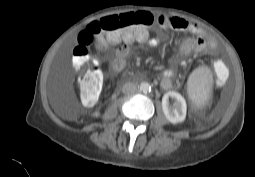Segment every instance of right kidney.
Wrapping results in <instances>:
<instances>
[{"label":"right kidney","instance_id":"ca27d5eb","mask_svg":"<svg viewBox=\"0 0 255 177\" xmlns=\"http://www.w3.org/2000/svg\"><path fill=\"white\" fill-rule=\"evenodd\" d=\"M92 116L97 118V117L100 116V113L99 112H94Z\"/></svg>","mask_w":255,"mask_h":177}]
</instances>
